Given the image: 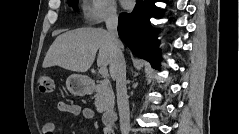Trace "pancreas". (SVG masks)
<instances>
[{
	"mask_svg": "<svg viewBox=\"0 0 239 134\" xmlns=\"http://www.w3.org/2000/svg\"><path fill=\"white\" fill-rule=\"evenodd\" d=\"M95 106L97 112L103 113L114 104V93L108 82H100L96 86Z\"/></svg>",
	"mask_w": 239,
	"mask_h": 134,
	"instance_id": "pancreas-1",
	"label": "pancreas"
}]
</instances>
